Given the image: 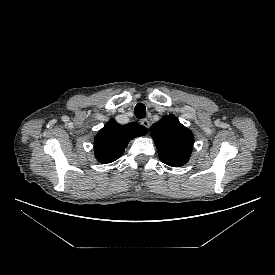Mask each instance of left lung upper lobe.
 Instances as JSON below:
<instances>
[{
    "label": "left lung upper lobe",
    "instance_id": "obj_1",
    "mask_svg": "<svg viewBox=\"0 0 275 275\" xmlns=\"http://www.w3.org/2000/svg\"><path fill=\"white\" fill-rule=\"evenodd\" d=\"M151 131L159 158L163 163L179 167L189 160L194 137L174 115L164 116L151 126Z\"/></svg>",
    "mask_w": 275,
    "mask_h": 275
}]
</instances>
